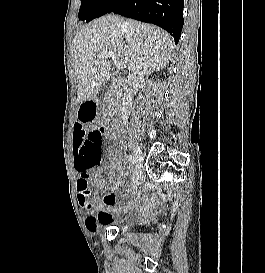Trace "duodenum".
Masks as SVG:
<instances>
[{
	"label": "duodenum",
	"mask_w": 265,
	"mask_h": 273,
	"mask_svg": "<svg viewBox=\"0 0 265 273\" xmlns=\"http://www.w3.org/2000/svg\"><path fill=\"white\" fill-rule=\"evenodd\" d=\"M115 89H116V86L113 87L112 91L115 92ZM116 97H117V96L114 95L112 99H116ZM101 98H102V97H101Z\"/></svg>",
	"instance_id": "1"
}]
</instances>
